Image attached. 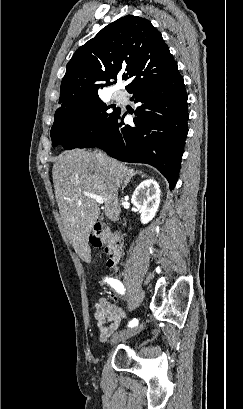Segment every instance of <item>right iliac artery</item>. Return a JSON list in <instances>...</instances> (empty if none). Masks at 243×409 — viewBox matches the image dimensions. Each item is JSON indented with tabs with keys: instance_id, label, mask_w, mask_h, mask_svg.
<instances>
[{
	"instance_id": "obj_1",
	"label": "right iliac artery",
	"mask_w": 243,
	"mask_h": 409,
	"mask_svg": "<svg viewBox=\"0 0 243 409\" xmlns=\"http://www.w3.org/2000/svg\"><path fill=\"white\" fill-rule=\"evenodd\" d=\"M106 282L112 286L117 292L124 294V287L123 285L116 279L113 278H106ZM136 325H138V320L137 319H133L129 322L128 327H135Z\"/></svg>"
}]
</instances>
